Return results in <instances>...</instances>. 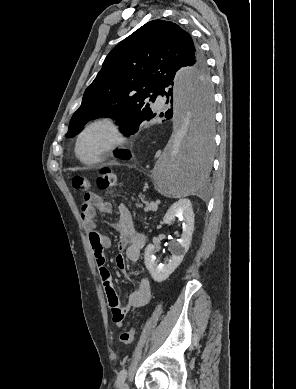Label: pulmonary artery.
<instances>
[{
	"label": "pulmonary artery",
	"instance_id": "pulmonary-artery-1",
	"mask_svg": "<svg viewBox=\"0 0 296 389\" xmlns=\"http://www.w3.org/2000/svg\"><path fill=\"white\" fill-rule=\"evenodd\" d=\"M164 98L161 95H158L153 103L155 108H162L164 106Z\"/></svg>",
	"mask_w": 296,
	"mask_h": 389
}]
</instances>
